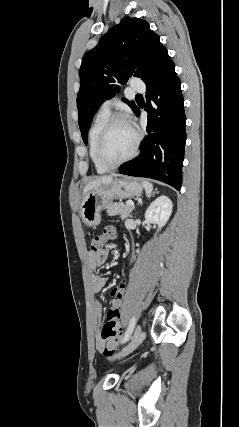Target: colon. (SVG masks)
Returning a JSON list of instances; mask_svg holds the SVG:
<instances>
[{
    "label": "colon",
    "mask_w": 239,
    "mask_h": 427,
    "mask_svg": "<svg viewBox=\"0 0 239 427\" xmlns=\"http://www.w3.org/2000/svg\"><path fill=\"white\" fill-rule=\"evenodd\" d=\"M121 232L115 230L114 227H107L101 235H96L90 242V253L96 254L104 243L112 237L118 239L121 237ZM126 282L118 281L117 284L112 286L110 290V309L107 312L105 322L101 330V339L104 342L102 352L105 356H112L114 354V347L121 338V329L118 321L119 309L122 307V301L126 300Z\"/></svg>",
    "instance_id": "obj_1"
}]
</instances>
